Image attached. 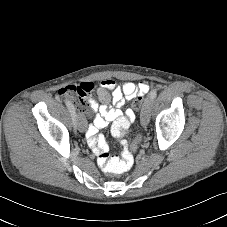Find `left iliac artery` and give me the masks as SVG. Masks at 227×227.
Listing matches in <instances>:
<instances>
[{
	"instance_id": "44dca946",
	"label": "left iliac artery",
	"mask_w": 227,
	"mask_h": 227,
	"mask_svg": "<svg viewBox=\"0 0 227 227\" xmlns=\"http://www.w3.org/2000/svg\"><path fill=\"white\" fill-rule=\"evenodd\" d=\"M156 96H157V92L155 90L151 91V93H150V99L153 100V99L156 98Z\"/></svg>"
}]
</instances>
